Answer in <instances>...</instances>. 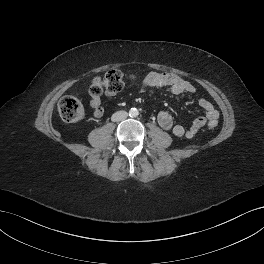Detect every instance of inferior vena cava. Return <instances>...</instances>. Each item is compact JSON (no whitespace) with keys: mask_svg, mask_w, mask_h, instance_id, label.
<instances>
[{"mask_svg":"<svg viewBox=\"0 0 264 264\" xmlns=\"http://www.w3.org/2000/svg\"><path fill=\"white\" fill-rule=\"evenodd\" d=\"M127 116L128 113L126 111H117L112 115L111 120L113 122H119L125 120Z\"/></svg>","mask_w":264,"mask_h":264,"instance_id":"inferior-vena-cava-1","label":"inferior vena cava"}]
</instances>
